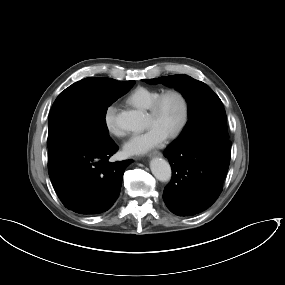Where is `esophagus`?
<instances>
[{"label":"esophagus","mask_w":285,"mask_h":285,"mask_svg":"<svg viewBox=\"0 0 285 285\" xmlns=\"http://www.w3.org/2000/svg\"><path fill=\"white\" fill-rule=\"evenodd\" d=\"M148 156L149 157L162 156V153L160 151L155 150L151 152Z\"/></svg>","instance_id":"34e87169"}]
</instances>
